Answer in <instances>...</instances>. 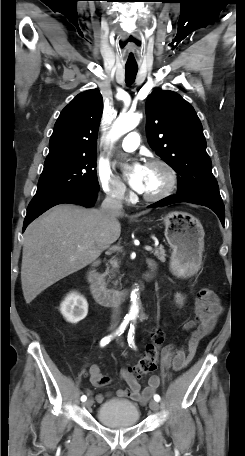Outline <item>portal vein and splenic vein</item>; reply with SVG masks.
I'll return each instance as SVG.
<instances>
[{"mask_svg": "<svg viewBox=\"0 0 245 456\" xmlns=\"http://www.w3.org/2000/svg\"><path fill=\"white\" fill-rule=\"evenodd\" d=\"M144 248H145L146 251H152V247L151 246H145ZM118 249H120V248L118 247Z\"/></svg>", "mask_w": 245, "mask_h": 456, "instance_id": "portal-vein-and-splenic-vein-1", "label": "portal vein and splenic vein"}]
</instances>
